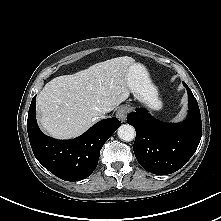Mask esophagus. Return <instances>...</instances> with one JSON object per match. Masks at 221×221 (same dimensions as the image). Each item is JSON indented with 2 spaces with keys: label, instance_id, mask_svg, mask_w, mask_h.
Wrapping results in <instances>:
<instances>
[{
  "label": "esophagus",
  "instance_id": "esophagus-1",
  "mask_svg": "<svg viewBox=\"0 0 221 221\" xmlns=\"http://www.w3.org/2000/svg\"><path fill=\"white\" fill-rule=\"evenodd\" d=\"M129 111L130 108L128 106H122L117 110L116 116L120 121L124 122L126 120Z\"/></svg>",
  "mask_w": 221,
  "mask_h": 221
}]
</instances>
